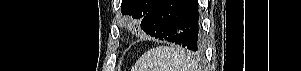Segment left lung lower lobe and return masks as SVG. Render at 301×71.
<instances>
[{
	"mask_svg": "<svg viewBox=\"0 0 301 71\" xmlns=\"http://www.w3.org/2000/svg\"><path fill=\"white\" fill-rule=\"evenodd\" d=\"M200 22L197 0H158L142 19L141 28L155 38L198 51L202 47Z\"/></svg>",
	"mask_w": 301,
	"mask_h": 71,
	"instance_id": "0a47b994",
	"label": "left lung lower lobe"
}]
</instances>
